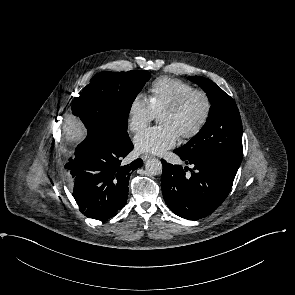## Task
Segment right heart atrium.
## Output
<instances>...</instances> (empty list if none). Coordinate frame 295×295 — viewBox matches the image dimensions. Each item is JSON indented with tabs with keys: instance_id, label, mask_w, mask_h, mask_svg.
I'll return each mask as SVG.
<instances>
[{
	"instance_id": "d8ad5b80",
	"label": "right heart atrium",
	"mask_w": 295,
	"mask_h": 295,
	"mask_svg": "<svg viewBox=\"0 0 295 295\" xmlns=\"http://www.w3.org/2000/svg\"><path fill=\"white\" fill-rule=\"evenodd\" d=\"M128 127L138 133L145 129L149 123L156 117V113L150 103L149 98L143 94L135 95L128 106Z\"/></svg>"
}]
</instances>
